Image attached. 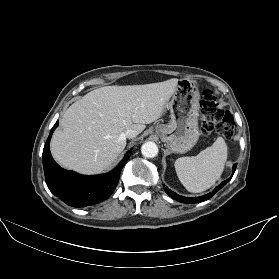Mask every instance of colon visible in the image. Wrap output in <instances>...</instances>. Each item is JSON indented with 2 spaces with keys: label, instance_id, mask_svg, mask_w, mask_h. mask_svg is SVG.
Masks as SVG:
<instances>
[{
  "label": "colon",
  "instance_id": "5ec220e1",
  "mask_svg": "<svg viewBox=\"0 0 279 279\" xmlns=\"http://www.w3.org/2000/svg\"><path fill=\"white\" fill-rule=\"evenodd\" d=\"M200 123L201 130L205 134L216 132L226 138L233 135L232 115L219 106L216 97L209 90L203 92Z\"/></svg>",
  "mask_w": 279,
  "mask_h": 279
}]
</instances>
